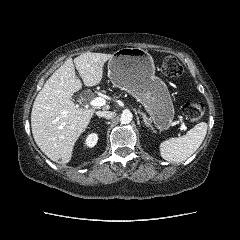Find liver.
I'll return each instance as SVG.
<instances>
[{
  "label": "liver",
  "mask_w": 240,
  "mask_h": 240,
  "mask_svg": "<svg viewBox=\"0 0 240 240\" xmlns=\"http://www.w3.org/2000/svg\"><path fill=\"white\" fill-rule=\"evenodd\" d=\"M112 56L85 52L74 61L67 59L38 93L31 112L32 134L38 147L52 161L66 164L71 160L75 142L95 111L78 108L71 100L82 88L75 67L85 86H96L102 81L104 64Z\"/></svg>",
  "instance_id": "obj_1"
}]
</instances>
